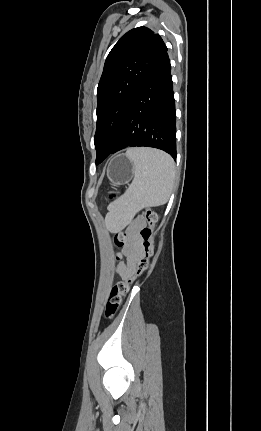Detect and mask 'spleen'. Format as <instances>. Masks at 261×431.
Masks as SVG:
<instances>
[{"label":"spleen","mask_w":261,"mask_h":431,"mask_svg":"<svg viewBox=\"0 0 261 431\" xmlns=\"http://www.w3.org/2000/svg\"><path fill=\"white\" fill-rule=\"evenodd\" d=\"M126 156L134 164V179L126 192L110 204L111 212L134 214L145 207L165 204L175 180L171 156L150 148H131Z\"/></svg>","instance_id":"spleen-1"}]
</instances>
